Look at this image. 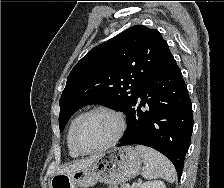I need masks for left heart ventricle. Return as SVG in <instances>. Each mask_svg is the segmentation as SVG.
<instances>
[{
    "mask_svg": "<svg viewBox=\"0 0 224 188\" xmlns=\"http://www.w3.org/2000/svg\"><path fill=\"white\" fill-rule=\"evenodd\" d=\"M116 119L106 113H94L81 124L77 140L84 149H93L109 142L117 133Z\"/></svg>",
    "mask_w": 224,
    "mask_h": 188,
    "instance_id": "obj_1",
    "label": "left heart ventricle"
}]
</instances>
